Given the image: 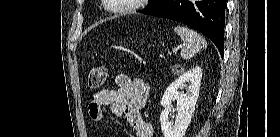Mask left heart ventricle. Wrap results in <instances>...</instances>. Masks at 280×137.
Wrapping results in <instances>:
<instances>
[{
    "mask_svg": "<svg viewBox=\"0 0 280 137\" xmlns=\"http://www.w3.org/2000/svg\"><path fill=\"white\" fill-rule=\"evenodd\" d=\"M114 6H123L131 2V0H111Z\"/></svg>",
    "mask_w": 280,
    "mask_h": 137,
    "instance_id": "1",
    "label": "left heart ventricle"
}]
</instances>
